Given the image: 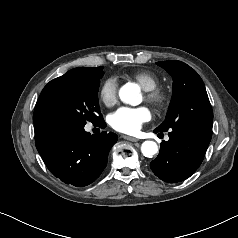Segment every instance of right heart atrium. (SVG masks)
<instances>
[{
  "instance_id": "d8ad5b80",
  "label": "right heart atrium",
  "mask_w": 238,
  "mask_h": 238,
  "mask_svg": "<svg viewBox=\"0 0 238 238\" xmlns=\"http://www.w3.org/2000/svg\"><path fill=\"white\" fill-rule=\"evenodd\" d=\"M118 82L115 78L105 79L99 88V99L106 106H112L117 102Z\"/></svg>"
}]
</instances>
